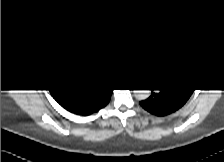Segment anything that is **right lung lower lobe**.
<instances>
[{
	"instance_id": "obj_1",
	"label": "right lung lower lobe",
	"mask_w": 224,
	"mask_h": 162,
	"mask_svg": "<svg viewBox=\"0 0 224 162\" xmlns=\"http://www.w3.org/2000/svg\"><path fill=\"white\" fill-rule=\"evenodd\" d=\"M109 100H110V95H108L106 98H102L101 100H100V102L98 103V104H96L95 105V107L93 108V110L91 111V112H81V113H76V114H80V115H89V114H92V113H94V112H96V111H98V110H100L101 108H103L104 106H106L107 104H108V102H109Z\"/></svg>"
}]
</instances>
